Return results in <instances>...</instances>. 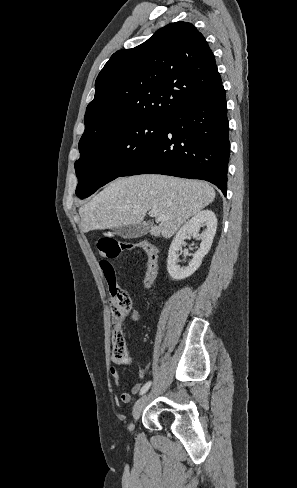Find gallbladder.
Listing matches in <instances>:
<instances>
[{"label": "gallbladder", "instance_id": "gallbladder-1", "mask_svg": "<svg viewBox=\"0 0 297 488\" xmlns=\"http://www.w3.org/2000/svg\"><path fill=\"white\" fill-rule=\"evenodd\" d=\"M150 227L151 225L149 223L130 224L119 226L115 228L114 232L124 239H133L147 234L150 231Z\"/></svg>", "mask_w": 297, "mask_h": 488}]
</instances>
